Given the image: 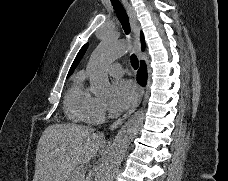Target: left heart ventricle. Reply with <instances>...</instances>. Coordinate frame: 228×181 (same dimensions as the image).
<instances>
[{"label": "left heart ventricle", "mask_w": 228, "mask_h": 181, "mask_svg": "<svg viewBox=\"0 0 228 181\" xmlns=\"http://www.w3.org/2000/svg\"><path fill=\"white\" fill-rule=\"evenodd\" d=\"M120 76V73H114L112 75V78H118ZM109 85H110V81H109Z\"/></svg>", "instance_id": "left-heart-ventricle-1"}]
</instances>
